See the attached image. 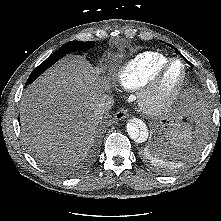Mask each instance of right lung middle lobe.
<instances>
[{"label": "right lung middle lobe", "mask_w": 221, "mask_h": 221, "mask_svg": "<svg viewBox=\"0 0 221 221\" xmlns=\"http://www.w3.org/2000/svg\"><path fill=\"white\" fill-rule=\"evenodd\" d=\"M94 41L81 42V41H70L60 47L56 52L50 55L44 62H42L29 76L27 83L33 82L40 74L47 70L51 65H53L60 58L64 57L67 53L85 50L91 48L94 45Z\"/></svg>", "instance_id": "right-lung-middle-lobe-1"}]
</instances>
